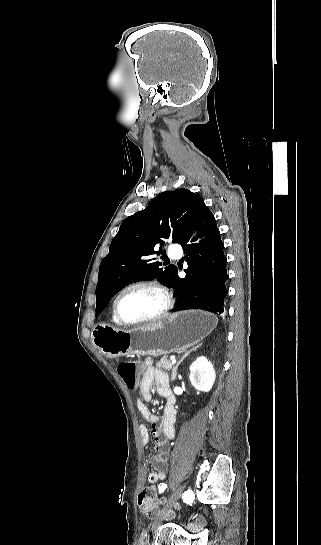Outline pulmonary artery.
I'll use <instances>...</instances> for the list:
<instances>
[{"label":"pulmonary artery","mask_w":321,"mask_h":545,"mask_svg":"<svg viewBox=\"0 0 321 545\" xmlns=\"http://www.w3.org/2000/svg\"><path fill=\"white\" fill-rule=\"evenodd\" d=\"M181 255V248L179 246H170L164 253L166 261H175L177 257Z\"/></svg>","instance_id":"e3ab8cb5"}]
</instances>
